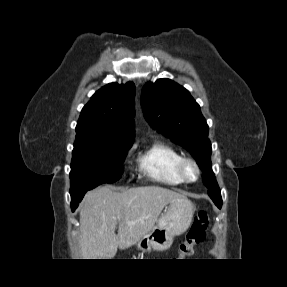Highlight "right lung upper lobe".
Wrapping results in <instances>:
<instances>
[{
    "label": "right lung upper lobe",
    "mask_w": 287,
    "mask_h": 287,
    "mask_svg": "<svg viewBox=\"0 0 287 287\" xmlns=\"http://www.w3.org/2000/svg\"><path fill=\"white\" fill-rule=\"evenodd\" d=\"M134 95L133 82L103 86L83 107L76 132H87L101 139L133 141Z\"/></svg>",
    "instance_id": "1"
}]
</instances>
